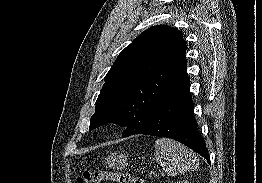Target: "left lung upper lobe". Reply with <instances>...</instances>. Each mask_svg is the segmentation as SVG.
Instances as JSON below:
<instances>
[{"instance_id":"left-lung-upper-lobe-1","label":"left lung upper lobe","mask_w":262,"mask_h":183,"mask_svg":"<svg viewBox=\"0 0 262 183\" xmlns=\"http://www.w3.org/2000/svg\"><path fill=\"white\" fill-rule=\"evenodd\" d=\"M186 50L176 28L158 25L142 32L105 76L89 130L110 122L127 126L123 137L142 130L187 77Z\"/></svg>"}]
</instances>
